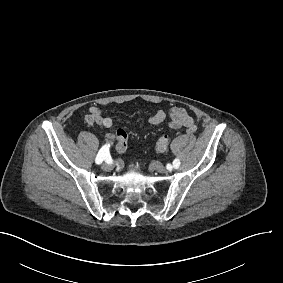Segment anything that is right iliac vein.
<instances>
[{
  "label": "right iliac vein",
  "instance_id": "63e3f726",
  "mask_svg": "<svg viewBox=\"0 0 283 283\" xmlns=\"http://www.w3.org/2000/svg\"><path fill=\"white\" fill-rule=\"evenodd\" d=\"M102 169H103L104 171H111V170L113 169V166H112L111 164L104 163V164L102 165Z\"/></svg>",
  "mask_w": 283,
  "mask_h": 283
}]
</instances>
